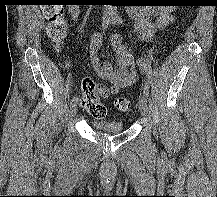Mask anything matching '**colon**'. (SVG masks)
Here are the masks:
<instances>
[{"label": "colon", "instance_id": "1", "mask_svg": "<svg viewBox=\"0 0 217 197\" xmlns=\"http://www.w3.org/2000/svg\"><path fill=\"white\" fill-rule=\"evenodd\" d=\"M42 11L48 19L47 35L56 48H61L67 36V24L64 17V4L61 0H43ZM83 108L95 119L101 120L107 110L100 101L107 95L108 89L97 84L90 78L83 79L81 83ZM130 101L126 98H117L115 106L119 111H127L130 108Z\"/></svg>", "mask_w": 217, "mask_h": 197}]
</instances>
